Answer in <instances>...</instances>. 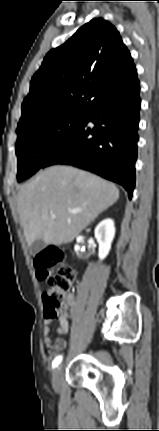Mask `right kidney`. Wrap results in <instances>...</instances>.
<instances>
[{
	"mask_svg": "<svg viewBox=\"0 0 159 431\" xmlns=\"http://www.w3.org/2000/svg\"><path fill=\"white\" fill-rule=\"evenodd\" d=\"M115 235V227L112 219H105L95 229V238L99 244L98 256L103 260L111 249V243Z\"/></svg>",
	"mask_w": 159,
	"mask_h": 431,
	"instance_id": "obj_1",
	"label": "right kidney"
}]
</instances>
